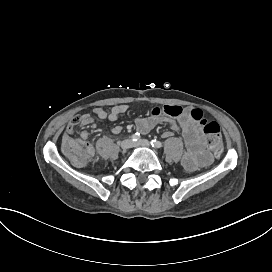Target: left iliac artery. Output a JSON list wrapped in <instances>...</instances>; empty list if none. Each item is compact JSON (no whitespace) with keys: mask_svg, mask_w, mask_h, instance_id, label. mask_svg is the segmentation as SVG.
Instances as JSON below:
<instances>
[{"mask_svg":"<svg viewBox=\"0 0 272 272\" xmlns=\"http://www.w3.org/2000/svg\"><path fill=\"white\" fill-rule=\"evenodd\" d=\"M151 145L152 147H155V148H161L162 147V143L156 139H153L151 140Z\"/></svg>","mask_w":272,"mask_h":272,"instance_id":"obj_1","label":"left iliac artery"}]
</instances>
